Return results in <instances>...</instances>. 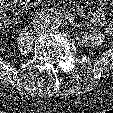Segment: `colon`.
<instances>
[{
  "instance_id": "1",
  "label": "colon",
  "mask_w": 113,
  "mask_h": 113,
  "mask_svg": "<svg viewBox=\"0 0 113 113\" xmlns=\"http://www.w3.org/2000/svg\"><path fill=\"white\" fill-rule=\"evenodd\" d=\"M3 1H8V0H0V27L5 23V16H4L3 11H2ZM30 1H37V0H30Z\"/></svg>"
}]
</instances>
